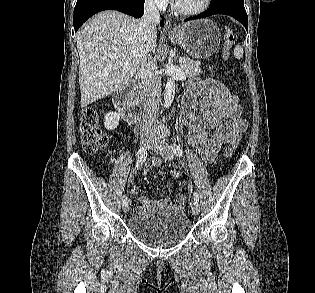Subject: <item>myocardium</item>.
Returning <instances> with one entry per match:
<instances>
[{
  "label": "myocardium",
  "mask_w": 315,
  "mask_h": 293,
  "mask_svg": "<svg viewBox=\"0 0 315 293\" xmlns=\"http://www.w3.org/2000/svg\"><path fill=\"white\" fill-rule=\"evenodd\" d=\"M210 3H211V0H204L203 4L199 8L187 10V9H183L182 7H180L178 5V3L176 2V0H172V8L176 13H178L180 15L194 16V15H199V14L205 12L209 8Z\"/></svg>",
  "instance_id": "f54148a6"
}]
</instances>
